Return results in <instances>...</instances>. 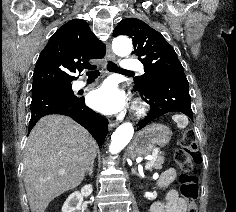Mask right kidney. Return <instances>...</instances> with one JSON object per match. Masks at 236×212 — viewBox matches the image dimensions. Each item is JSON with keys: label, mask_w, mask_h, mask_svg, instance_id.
<instances>
[{"label": "right kidney", "mask_w": 236, "mask_h": 212, "mask_svg": "<svg viewBox=\"0 0 236 212\" xmlns=\"http://www.w3.org/2000/svg\"><path fill=\"white\" fill-rule=\"evenodd\" d=\"M93 192L91 184L85 185L81 191H75L66 199L62 206V212H83L81 207L83 197H88Z\"/></svg>", "instance_id": "right-kidney-1"}]
</instances>
